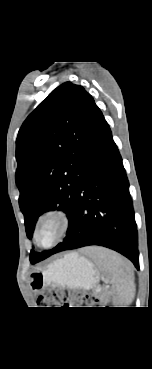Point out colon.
<instances>
[{"instance_id":"5ec220e1","label":"colon","mask_w":152,"mask_h":369,"mask_svg":"<svg viewBox=\"0 0 152 369\" xmlns=\"http://www.w3.org/2000/svg\"><path fill=\"white\" fill-rule=\"evenodd\" d=\"M95 300L87 293L57 289L40 298L42 306L48 307H88Z\"/></svg>"}]
</instances>
